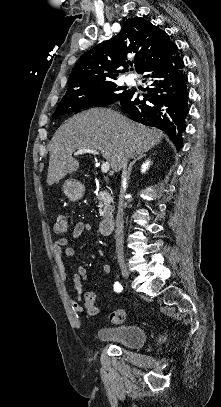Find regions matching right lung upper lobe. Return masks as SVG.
Returning a JSON list of instances; mask_svg holds the SVG:
<instances>
[{
    "label": "right lung upper lobe",
    "instance_id": "right-lung-upper-lobe-1",
    "mask_svg": "<svg viewBox=\"0 0 221 407\" xmlns=\"http://www.w3.org/2000/svg\"><path fill=\"white\" fill-rule=\"evenodd\" d=\"M172 42L169 35L141 17L127 20L121 32L84 53L72 69L67 92L112 82L121 67L134 63L141 73L164 56Z\"/></svg>",
    "mask_w": 221,
    "mask_h": 407
}]
</instances>
